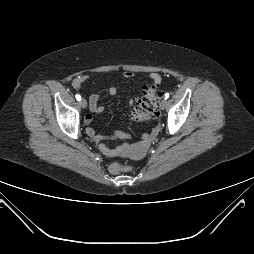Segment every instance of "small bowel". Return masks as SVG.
<instances>
[{
    "instance_id": "1",
    "label": "small bowel",
    "mask_w": 254,
    "mask_h": 254,
    "mask_svg": "<svg viewBox=\"0 0 254 254\" xmlns=\"http://www.w3.org/2000/svg\"><path fill=\"white\" fill-rule=\"evenodd\" d=\"M123 77L124 78H132L134 76V73L132 71H124L123 72ZM150 79L153 81L154 84H159L161 82V77L157 73H151L149 75ZM91 80L92 83L96 81V77L94 76H88V75H83L79 76L76 78L73 82L74 86L76 88H81L82 83L86 80ZM110 95H116L118 92L117 87L112 86L108 90ZM133 99L129 98L128 103L129 105L133 104ZM89 108L91 113H88L85 118H84V123L86 125V133L89 137H91L94 141L100 143L99 148L100 150L107 156L113 157L119 155L125 148H116V149H110L108 148L104 143H102L104 140L107 139L106 136L101 135L95 131V129L91 126L93 122V114L99 115L104 111V108L99 105V96L97 94H92L89 98ZM113 136L117 138H123L124 134L121 133L120 131H114ZM148 143V137H144L137 147H134L136 150H141L146 144Z\"/></svg>"
}]
</instances>
